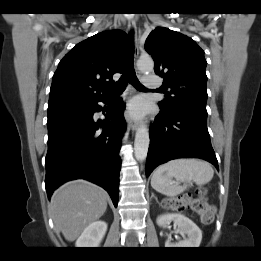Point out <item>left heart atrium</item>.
Masks as SVG:
<instances>
[{"mask_svg":"<svg viewBox=\"0 0 261 261\" xmlns=\"http://www.w3.org/2000/svg\"><path fill=\"white\" fill-rule=\"evenodd\" d=\"M130 111L133 116L141 117L145 112V108L141 101L136 100L132 102L130 106Z\"/></svg>","mask_w":261,"mask_h":261,"instance_id":"1","label":"left heart atrium"}]
</instances>
